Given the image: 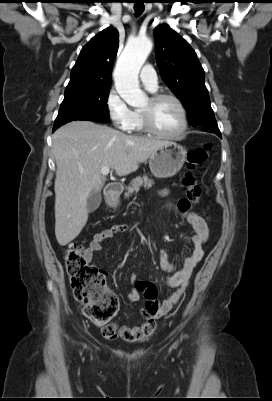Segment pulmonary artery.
<instances>
[{
	"mask_svg": "<svg viewBox=\"0 0 272 401\" xmlns=\"http://www.w3.org/2000/svg\"><path fill=\"white\" fill-rule=\"evenodd\" d=\"M140 80L149 91L157 89V75L151 65H145L140 74Z\"/></svg>",
	"mask_w": 272,
	"mask_h": 401,
	"instance_id": "pulmonary-artery-1",
	"label": "pulmonary artery"
}]
</instances>
